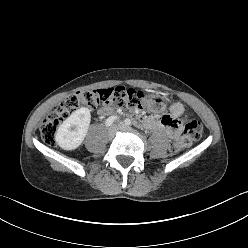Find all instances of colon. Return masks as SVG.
<instances>
[{"instance_id":"1","label":"colon","mask_w":248,"mask_h":248,"mask_svg":"<svg viewBox=\"0 0 248 248\" xmlns=\"http://www.w3.org/2000/svg\"><path fill=\"white\" fill-rule=\"evenodd\" d=\"M145 94L133 88L117 86L99 90L77 91L63 99L41 122L40 133L48 145L55 143V135L61 123L81 106L116 107L128 110L144 109ZM202 124L197 120L189 121L185 126L184 136L175 139L169 147L171 153H178L192 142L201 138Z\"/></svg>"}]
</instances>
